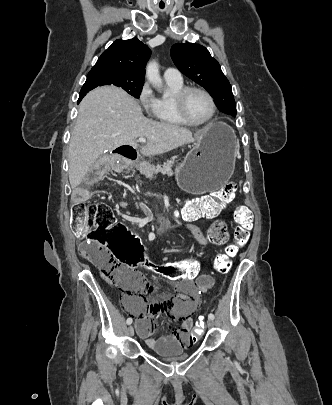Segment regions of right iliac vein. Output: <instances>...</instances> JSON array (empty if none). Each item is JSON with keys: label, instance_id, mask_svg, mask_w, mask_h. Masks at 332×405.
I'll list each match as a JSON object with an SVG mask.
<instances>
[{"label": "right iliac vein", "instance_id": "1", "mask_svg": "<svg viewBox=\"0 0 332 405\" xmlns=\"http://www.w3.org/2000/svg\"><path fill=\"white\" fill-rule=\"evenodd\" d=\"M127 333H128L129 336H133V335H134V328H133V326H129V327L127 328Z\"/></svg>", "mask_w": 332, "mask_h": 405}]
</instances>
